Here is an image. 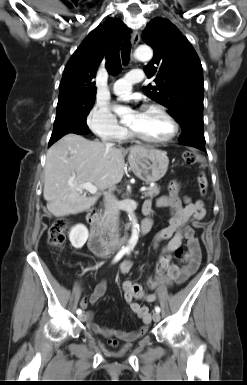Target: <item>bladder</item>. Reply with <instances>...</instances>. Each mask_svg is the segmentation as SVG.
Segmentation results:
<instances>
[{
  "label": "bladder",
  "mask_w": 247,
  "mask_h": 385,
  "mask_svg": "<svg viewBox=\"0 0 247 385\" xmlns=\"http://www.w3.org/2000/svg\"><path fill=\"white\" fill-rule=\"evenodd\" d=\"M131 345H132V344H129V345L127 346V348H129Z\"/></svg>",
  "instance_id": "1"
}]
</instances>
